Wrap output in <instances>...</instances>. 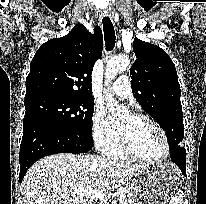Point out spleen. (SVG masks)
Returning a JSON list of instances; mask_svg holds the SVG:
<instances>
[{"label":"spleen","mask_w":206,"mask_h":204,"mask_svg":"<svg viewBox=\"0 0 206 204\" xmlns=\"http://www.w3.org/2000/svg\"><path fill=\"white\" fill-rule=\"evenodd\" d=\"M182 203H183V197L180 193L177 192L172 195L169 204H182Z\"/></svg>","instance_id":"obj_1"}]
</instances>
